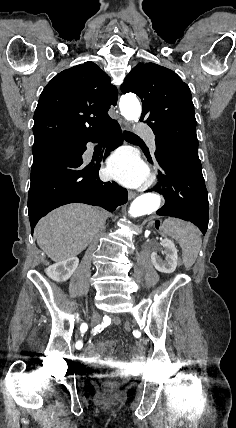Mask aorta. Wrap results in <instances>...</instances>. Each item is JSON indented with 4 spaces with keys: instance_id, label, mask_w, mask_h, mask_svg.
I'll list each match as a JSON object with an SVG mask.
<instances>
[{
    "instance_id": "obj_1",
    "label": "aorta",
    "mask_w": 236,
    "mask_h": 428,
    "mask_svg": "<svg viewBox=\"0 0 236 428\" xmlns=\"http://www.w3.org/2000/svg\"><path fill=\"white\" fill-rule=\"evenodd\" d=\"M119 108L121 114L128 121H138L141 115V105L134 94L123 95L120 99ZM161 198L155 193H145L137 197L130 205L129 213L132 217L151 214L159 209Z\"/></svg>"
}]
</instances>
